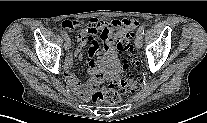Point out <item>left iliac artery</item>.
Listing matches in <instances>:
<instances>
[{
    "label": "left iliac artery",
    "instance_id": "left-iliac-artery-1",
    "mask_svg": "<svg viewBox=\"0 0 207 123\" xmlns=\"http://www.w3.org/2000/svg\"><path fill=\"white\" fill-rule=\"evenodd\" d=\"M144 30H145V28H144V26H141L139 29H138V34H140V35H143L144 34Z\"/></svg>",
    "mask_w": 207,
    "mask_h": 123
}]
</instances>
